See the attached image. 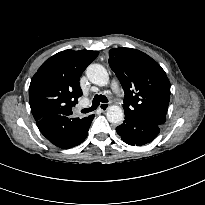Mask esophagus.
<instances>
[{"label":"esophagus","mask_w":205,"mask_h":205,"mask_svg":"<svg viewBox=\"0 0 205 205\" xmlns=\"http://www.w3.org/2000/svg\"><path fill=\"white\" fill-rule=\"evenodd\" d=\"M108 108H109V104H108V103H101V104L99 105V109H100L101 111H106Z\"/></svg>","instance_id":"obj_1"}]
</instances>
